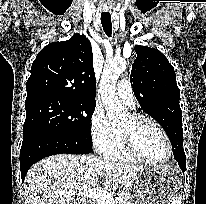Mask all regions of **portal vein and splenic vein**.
I'll use <instances>...</instances> for the list:
<instances>
[{"label": "portal vein and splenic vein", "instance_id": "obj_1", "mask_svg": "<svg viewBox=\"0 0 206 204\" xmlns=\"http://www.w3.org/2000/svg\"><path fill=\"white\" fill-rule=\"evenodd\" d=\"M80 195L85 198L95 199L99 204H115L122 200L121 196L116 197L115 199L112 195L106 191L95 189L92 187L84 186L82 188L76 189L70 192H63L62 195L65 196H75Z\"/></svg>", "mask_w": 206, "mask_h": 204}]
</instances>
